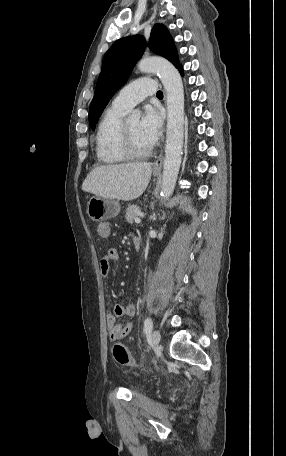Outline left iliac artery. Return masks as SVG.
<instances>
[{"mask_svg":"<svg viewBox=\"0 0 286 456\" xmlns=\"http://www.w3.org/2000/svg\"><path fill=\"white\" fill-rule=\"evenodd\" d=\"M153 322L150 318H146L144 321V333L149 334L152 331Z\"/></svg>","mask_w":286,"mask_h":456,"instance_id":"1","label":"left iliac artery"}]
</instances>
